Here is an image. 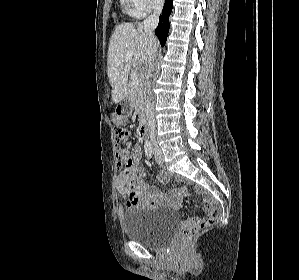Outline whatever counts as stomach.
Returning a JSON list of instances; mask_svg holds the SVG:
<instances>
[{"label": "stomach", "instance_id": "stomach-1", "mask_svg": "<svg viewBox=\"0 0 299 280\" xmlns=\"http://www.w3.org/2000/svg\"><path fill=\"white\" fill-rule=\"evenodd\" d=\"M132 108L129 104H120L112 114L111 120L116 125L125 124L131 115Z\"/></svg>", "mask_w": 299, "mask_h": 280}]
</instances>
